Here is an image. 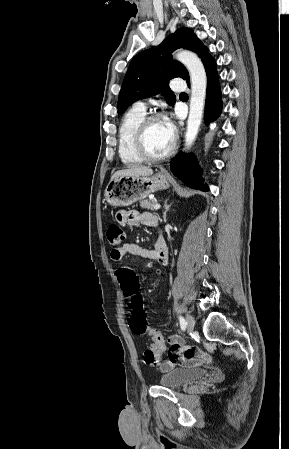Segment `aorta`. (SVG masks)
Listing matches in <instances>:
<instances>
[{
    "instance_id": "1",
    "label": "aorta",
    "mask_w": 289,
    "mask_h": 449,
    "mask_svg": "<svg viewBox=\"0 0 289 449\" xmlns=\"http://www.w3.org/2000/svg\"><path fill=\"white\" fill-rule=\"evenodd\" d=\"M175 57L188 69L191 80L190 110L185 134V146L189 149L194 143L201 125L206 98L207 77L203 63L195 53L180 50Z\"/></svg>"
}]
</instances>
